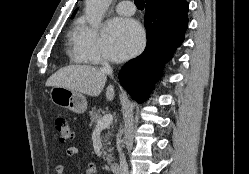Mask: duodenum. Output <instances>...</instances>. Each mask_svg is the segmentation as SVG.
I'll return each instance as SVG.
<instances>
[{"mask_svg": "<svg viewBox=\"0 0 249 174\" xmlns=\"http://www.w3.org/2000/svg\"><path fill=\"white\" fill-rule=\"evenodd\" d=\"M112 174H120V165L118 163H112L110 165Z\"/></svg>", "mask_w": 249, "mask_h": 174, "instance_id": "obj_1", "label": "duodenum"}]
</instances>
